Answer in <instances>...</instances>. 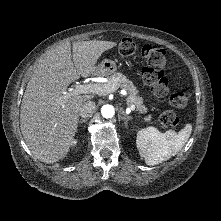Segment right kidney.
I'll list each match as a JSON object with an SVG mask.
<instances>
[{"instance_id":"1","label":"right kidney","mask_w":221,"mask_h":221,"mask_svg":"<svg viewBox=\"0 0 221 221\" xmlns=\"http://www.w3.org/2000/svg\"><path fill=\"white\" fill-rule=\"evenodd\" d=\"M77 143V141H72L71 145H75Z\"/></svg>"}]
</instances>
